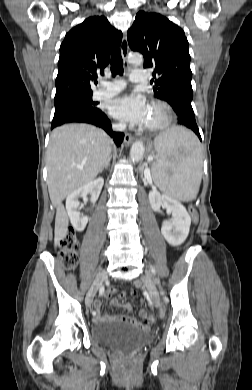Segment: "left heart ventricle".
Instances as JSON below:
<instances>
[{
    "label": "left heart ventricle",
    "mask_w": 252,
    "mask_h": 390,
    "mask_svg": "<svg viewBox=\"0 0 252 390\" xmlns=\"http://www.w3.org/2000/svg\"><path fill=\"white\" fill-rule=\"evenodd\" d=\"M164 118V113L161 109L157 107H149V113L147 116L146 123L144 124L145 126H151L155 125L159 122H161Z\"/></svg>",
    "instance_id": "1"
}]
</instances>
